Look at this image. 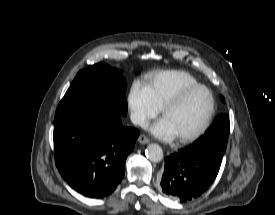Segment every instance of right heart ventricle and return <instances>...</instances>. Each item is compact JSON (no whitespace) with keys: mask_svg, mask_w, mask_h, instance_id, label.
<instances>
[{"mask_svg":"<svg viewBox=\"0 0 275 215\" xmlns=\"http://www.w3.org/2000/svg\"><path fill=\"white\" fill-rule=\"evenodd\" d=\"M197 83L195 77L183 70L156 71L146 77V87L160 109L181 89Z\"/></svg>","mask_w":275,"mask_h":215,"instance_id":"e07e8e85","label":"right heart ventricle"}]
</instances>
